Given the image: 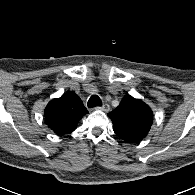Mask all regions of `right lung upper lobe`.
Wrapping results in <instances>:
<instances>
[{
	"instance_id": "1",
	"label": "right lung upper lobe",
	"mask_w": 195,
	"mask_h": 195,
	"mask_svg": "<svg viewBox=\"0 0 195 195\" xmlns=\"http://www.w3.org/2000/svg\"><path fill=\"white\" fill-rule=\"evenodd\" d=\"M80 97L73 92L51 100L45 108L47 125L58 135L71 133L79 120L87 114Z\"/></svg>"
}]
</instances>
